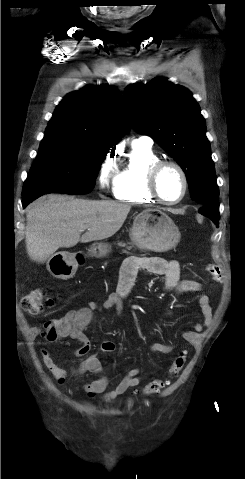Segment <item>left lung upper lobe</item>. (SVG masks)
Wrapping results in <instances>:
<instances>
[{
    "label": "left lung upper lobe",
    "instance_id": "5c2ea615",
    "mask_svg": "<svg viewBox=\"0 0 245 479\" xmlns=\"http://www.w3.org/2000/svg\"><path fill=\"white\" fill-rule=\"evenodd\" d=\"M124 99L134 129L151 136L182 167L191 198L202 206L216 202V183L206 125L192 94L162 78L132 84Z\"/></svg>",
    "mask_w": 245,
    "mask_h": 479
}]
</instances>
